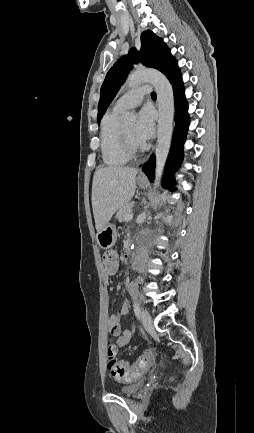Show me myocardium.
<instances>
[{"instance_id":"obj_1","label":"myocardium","mask_w":254,"mask_h":433,"mask_svg":"<svg viewBox=\"0 0 254 433\" xmlns=\"http://www.w3.org/2000/svg\"><path fill=\"white\" fill-rule=\"evenodd\" d=\"M120 138H121L123 150L129 157H134L143 150L142 146H135L130 141V139L128 138V136L126 135L122 127L120 128Z\"/></svg>"}]
</instances>
